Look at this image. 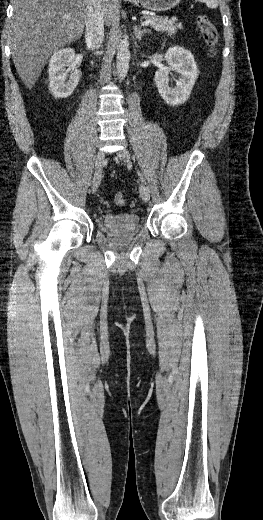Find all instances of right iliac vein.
Listing matches in <instances>:
<instances>
[{
    "label": "right iliac vein",
    "mask_w": 263,
    "mask_h": 520,
    "mask_svg": "<svg viewBox=\"0 0 263 520\" xmlns=\"http://www.w3.org/2000/svg\"><path fill=\"white\" fill-rule=\"evenodd\" d=\"M105 155L102 151L96 154L95 158V170L92 180V192L95 193L100 185L102 177V168L104 164Z\"/></svg>",
    "instance_id": "1"
}]
</instances>
